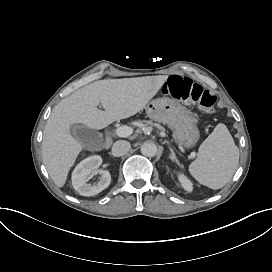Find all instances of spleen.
I'll return each mask as SVG.
<instances>
[{
	"label": "spleen",
	"instance_id": "spleen-1",
	"mask_svg": "<svg viewBox=\"0 0 272 272\" xmlns=\"http://www.w3.org/2000/svg\"><path fill=\"white\" fill-rule=\"evenodd\" d=\"M238 163L239 149L226 125L219 123L200 145L189 172L200 184L220 189L230 181Z\"/></svg>",
	"mask_w": 272,
	"mask_h": 272
}]
</instances>
